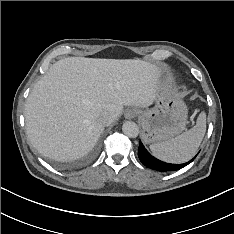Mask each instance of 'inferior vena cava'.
<instances>
[{"label":"inferior vena cava","instance_id":"602c4592","mask_svg":"<svg viewBox=\"0 0 234 234\" xmlns=\"http://www.w3.org/2000/svg\"><path fill=\"white\" fill-rule=\"evenodd\" d=\"M113 120L114 116L109 114L108 112L101 114L100 117L98 118V121L105 126L109 125Z\"/></svg>","mask_w":234,"mask_h":234}]
</instances>
